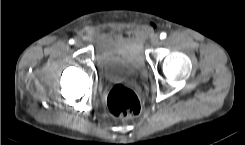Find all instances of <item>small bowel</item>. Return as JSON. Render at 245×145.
<instances>
[{
	"instance_id": "1",
	"label": "small bowel",
	"mask_w": 245,
	"mask_h": 145,
	"mask_svg": "<svg viewBox=\"0 0 245 145\" xmlns=\"http://www.w3.org/2000/svg\"><path fill=\"white\" fill-rule=\"evenodd\" d=\"M154 26H151V29H153ZM100 39V35L99 34H95V40L98 41Z\"/></svg>"
}]
</instances>
